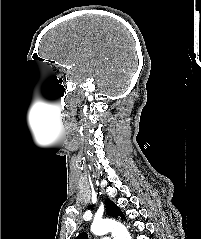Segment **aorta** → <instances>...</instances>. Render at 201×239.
<instances>
[{
	"label": "aorta",
	"mask_w": 201,
	"mask_h": 239,
	"mask_svg": "<svg viewBox=\"0 0 201 239\" xmlns=\"http://www.w3.org/2000/svg\"><path fill=\"white\" fill-rule=\"evenodd\" d=\"M91 231L95 235H105L111 232L114 239H131L126 227L112 219L94 221L91 225Z\"/></svg>",
	"instance_id": "aorta-1"
}]
</instances>
